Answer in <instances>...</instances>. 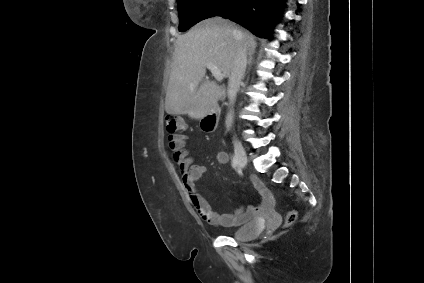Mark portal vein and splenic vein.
Here are the masks:
<instances>
[{"label": "portal vein and splenic vein", "mask_w": 424, "mask_h": 283, "mask_svg": "<svg viewBox=\"0 0 424 283\" xmlns=\"http://www.w3.org/2000/svg\"><path fill=\"white\" fill-rule=\"evenodd\" d=\"M206 67L208 70H210V72L212 73V75L215 77L217 81H220L224 78V75L222 74L221 70L213 63L211 62L207 63Z\"/></svg>", "instance_id": "obj_1"}]
</instances>
